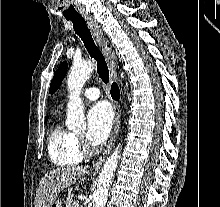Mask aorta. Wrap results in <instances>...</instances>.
<instances>
[{
    "label": "aorta",
    "mask_w": 220,
    "mask_h": 207,
    "mask_svg": "<svg viewBox=\"0 0 220 207\" xmlns=\"http://www.w3.org/2000/svg\"><path fill=\"white\" fill-rule=\"evenodd\" d=\"M93 70L94 64L91 61L75 63L68 76L67 87L69 91V101L67 103L66 126L70 130L83 131L86 128L83 103L80 95L84 84ZM120 153L121 145L119 144L103 165L98 176L97 188L93 195V207L105 206L109 188L121 157Z\"/></svg>",
    "instance_id": "aorta-1"
}]
</instances>
